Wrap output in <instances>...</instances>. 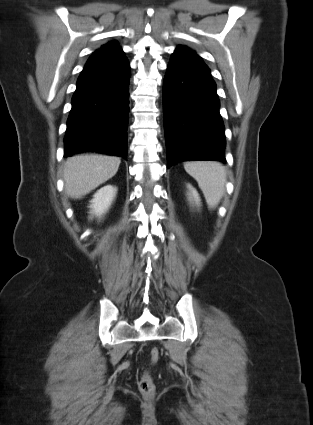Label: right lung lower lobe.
Listing matches in <instances>:
<instances>
[{
	"label": "right lung lower lobe",
	"mask_w": 313,
	"mask_h": 425,
	"mask_svg": "<svg viewBox=\"0 0 313 425\" xmlns=\"http://www.w3.org/2000/svg\"><path fill=\"white\" fill-rule=\"evenodd\" d=\"M130 75L126 57L89 58L72 97L64 157L97 152L127 158Z\"/></svg>",
	"instance_id": "98d812e1"
}]
</instances>
